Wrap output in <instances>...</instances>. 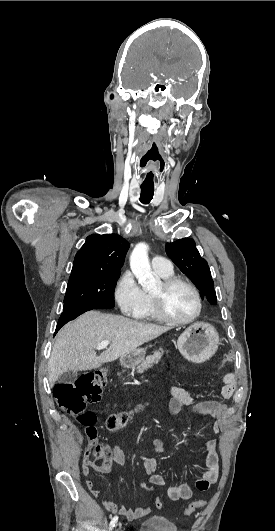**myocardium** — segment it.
Returning a JSON list of instances; mask_svg holds the SVG:
<instances>
[{"instance_id": "f54148a6", "label": "myocardium", "mask_w": 275, "mask_h": 531, "mask_svg": "<svg viewBox=\"0 0 275 531\" xmlns=\"http://www.w3.org/2000/svg\"><path fill=\"white\" fill-rule=\"evenodd\" d=\"M178 283L185 285L192 292V294L194 295L195 301H196V310L194 314L186 319H176L172 317L166 311L165 306H164L165 292L170 287ZM151 296L153 299L154 309H155L157 316L161 320L167 323L173 324V325H187L189 323H192L200 316L202 312V300H201V296L199 294L198 289L195 287V285L192 282L180 276L171 275L168 277H164L161 280V290L157 292H151Z\"/></svg>"}]
</instances>
